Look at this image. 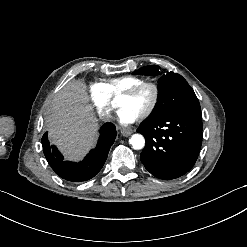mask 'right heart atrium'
Masks as SVG:
<instances>
[{
  "instance_id": "d8ad5b80",
  "label": "right heart atrium",
  "mask_w": 247,
  "mask_h": 247,
  "mask_svg": "<svg viewBox=\"0 0 247 247\" xmlns=\"http://www.w3.org/2000/svg\"><path fill=\"white\" fill-rule=\"evenodd\" d=\"M89 91L93 95L94 104L98 107L99 113L106 115L110 111V94L102 83H92Z\"/></svg>"
}]
</instances>
